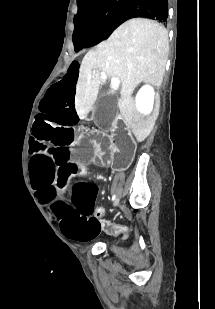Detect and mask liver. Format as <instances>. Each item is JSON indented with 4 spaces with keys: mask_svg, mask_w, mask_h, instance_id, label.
Returning <instances> with one entry per match:
<instances>
[{
    "mask_svg": "<svg viewBox=\"0 0 215 309\" xmlns=\"http://www.w3.org/2000/svg\"><path fill=\"white\" fill-rule=\"evenodd\" d=\"M169 50L168 30L149 18H130L120 24L96 50L85 54L76 84L75 108L80 118L90 112L99 92L101 72L119 78V110L127 128L141 142L150 134L159 114L156 106L152 116L138 112L133 96L139 82L161 86ZM101 70V72H100Z\"/></svg>",
    "mask_w": 215,
    "mask_h": 309,
    "instance_id": "1",
    "label": "liver"
}]
</instances>
